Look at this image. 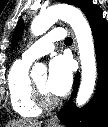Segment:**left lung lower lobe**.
<instances>
[{
	"label": "left lung lower lobe",
	"mask_w": 108,
	"mask_h": 127,
	"mask_svg": "<svg viewBox=\"0 0 108 127\" xmlns=\"http://www.w3.org/2000/svg\"><path fill=\"white\" fill-rule=\"evenodd\" d=\"M85 13L93 33L98 65V81L94 97L82 108H77L72 99L79 86V74L74 79V90L70 103L59 113L58 118L68 127H107L108 126V24L101 9L84 0L79 6Z\"/></svg>",
	"instance_id": "left-lung-lower-lobe-1"
}]
</instances>
